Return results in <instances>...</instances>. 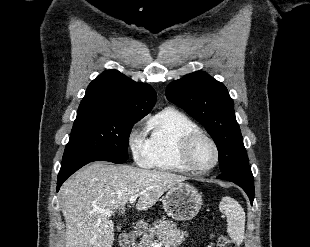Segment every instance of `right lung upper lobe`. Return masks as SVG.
<instances>
[{"mask_svg":"<svg viewBox=\"0 0 310 247\" xmlns=\"http://www.w3.org/2000/svg\"><path fill=\"white\" fill-rule=\"evenodd\" d=\"M155 102L156 92L150 85L137 83L119 71L107 70L89 84L77 113L144 117Z\"/></svg>","mask_w":310,"mask_h":247,"instance_id":"cb5924a9","label":"right lung upper lobe"}]
</instances>
